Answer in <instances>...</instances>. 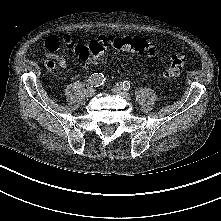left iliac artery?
<instances>
[{"label":"left iliac artery","instance_id":"obj_1","mask_svg":"<svg viewBox=\"0 0 221 221\" xmlns=\"http://www.w3.org/2000/svg\"><path fill=\"white\" fill-rule=\"evenodd\" d=\"M122 87L125 89V90H129L130 89V82L129 81H123L122 82Z\"/></svg>","mask_w":221,"mask_h":221}]
</instances>
